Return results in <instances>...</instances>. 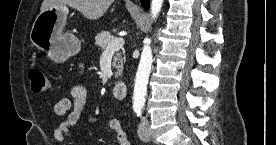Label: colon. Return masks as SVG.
I'll return each instance as SVG.
<instances>
[{
    "label": "colon",
    "mask_w": 276,
    "mask_h": 145,
    "mask_svg": "<svg viewBox=\"0 0 276 145\" xmlns=\"http://www.w3.org/2000/svg\"><path fill=\"white\" fill-rule=\"evenodd\" d=\"M31 89L35 94H42L50 89V82L40 68H32L29 71Z\"/></svg>",
    "instance_id": "obj_1"
}]
</instances>
